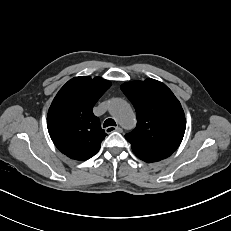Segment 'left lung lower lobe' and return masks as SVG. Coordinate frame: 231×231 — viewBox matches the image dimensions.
I'll return each mask as SVG.
<instances>
[{"label":"left lung lower lobe","instance_id":"left-lung-lower-lobe-1","mask_svg":"<svg viewBox=\"0 0 231 231\" xmlns=\"http://www.w3.org/2000/svg\"><path fill=\"white\" fill-rule=\"evenodd\" d=\"M143 161H145L147 163L155 162V161H152V160H143Z\"/></svg>","mask_w":231,"mask_h":231}]
</instances>
